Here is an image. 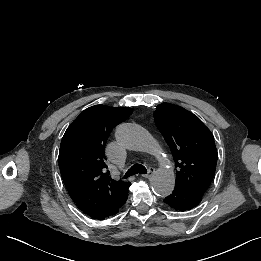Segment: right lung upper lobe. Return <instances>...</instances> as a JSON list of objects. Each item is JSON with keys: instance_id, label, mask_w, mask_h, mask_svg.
<instances>
[{"instance_id": "obj_1", "label": "right lung upper lobe", "mask_w": 261, "mask_h": 261, "mask_svg": "<svg viewBox=\"0 0 261 261\" xmlns=\"http://www.w3.org/2000/svg\"><path fill=\"white\" fill-rule=\"evenodd\" d=\"M133 110L95 105L67 128L60 145L59 167L64 184L78 208L94 218L114 209L128 194L129 182L105 173V144L112 129Z\"/></svg>"}]
</instances>
